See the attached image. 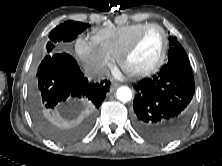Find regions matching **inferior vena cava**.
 <instances>
[{
    "mask_svg": "<svg viewBox=\"0 0 222 166\" xmlns=\"http://www.w3.org/2000/svg\"><path fill=\"white\" fill-rule=\"evenodd\" d=\"M85 76L90 80H103L105 77L109 76L108 69L104 67H86Z\"/></svg>",
    "mask_w": 222,
    "mask_h": 166,
    "instance_id": "inferior-vena-cava-1",
    "label": "inferior vena cava"
}]
</instances>
